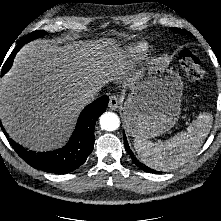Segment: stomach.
I'll return each instance as SVG.
<instances>
[{
  "instance_id": "1",
  "label": "stomach",
  "mask_w": 221,
  "mask_h": 221,
  "mask_svg": "<svg viewBox=\"0 0 221 221\" xmlns=\"http://www.w3.org/2000/svg\"><path fill=\"white\" fill-rule=\"evenodd\" d=\"M131 87L124 103L125 127L131 136L149 139L177 123L183 83L176 73L155 62L134 78Z\"/></svg>"
}]
</instances>
